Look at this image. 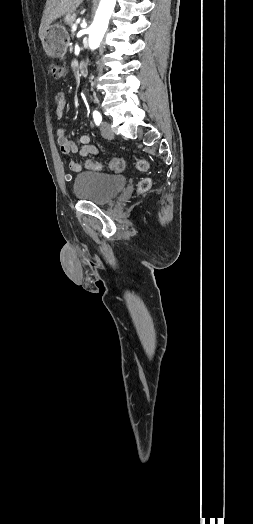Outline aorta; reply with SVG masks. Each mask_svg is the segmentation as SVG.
<instances>
[{"label": "aorta", "mask_w": 253, "mask_h": 524, "mask_svg": "<svg viewBox=\"0 0 253 524\" xmlns=\"http://www.w3.org/2000/svg\"><path fill=\"white\" fill-rule=\"evenodd\" d=\"M116 0H101L93 23L89 28V47L95 50L100 45L107 30Z\"/></svg>", "instance_id": "aorta-1"}]
</instances>
